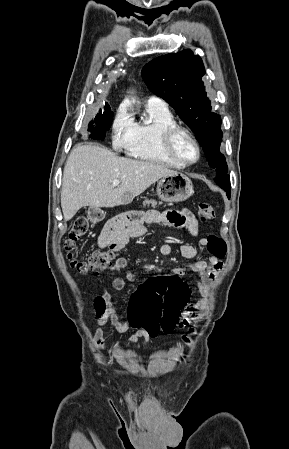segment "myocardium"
<instances>
[{
  "mask_svg": "<svg viewBox=\"0 0 289 449\" xmlns=\"http://www.w3.org/2000/svg\"><path fill=\"white\" fill-rule=\"evenodd\" d=\"M180 136L188 138L195 146L197 156L193 161L183 160L176 151V141ZM162 143L166 154L175 162L182 166H191L197 163L201 158V146L196 137L187 129L181 126H174L166 129L162 136Z\"/></svg>",
  "mask_w": 289,
  "mask_h": 449,
  "instance_id": "1",
  "label": "myocardium"
}]
</instances>
